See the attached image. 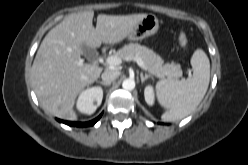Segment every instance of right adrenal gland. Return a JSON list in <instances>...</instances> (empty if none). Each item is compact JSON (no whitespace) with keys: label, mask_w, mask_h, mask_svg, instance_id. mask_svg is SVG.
Wrapping results in <instances>:
<instances>
[{"label":"right adrenal gland","mask_w":248,"mask_h":165,"mask_svg":"<svg viewBox=\"0 0 248 165\" xmlns=\"http://www.w3.org/2000/svg\"><path fill=\"white\" fill-rule=\"evenodd\" d=\"M96 82H98V83H100V84H102L104 86H109L110 85V83H106V82H103V81H96Z\"/></svg>","instance_id":"1"}]
</instances>
